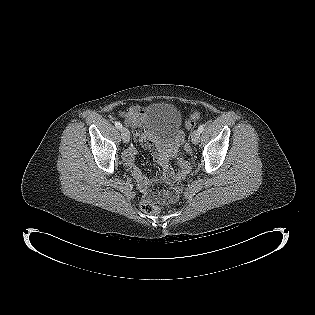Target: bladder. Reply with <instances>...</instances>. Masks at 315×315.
<instances>
[{
    "label": "bladder",
    "instance_id": "bladder-1",
    "mask_svg": "<svg viewBox=\"0 0 315 315\" xmlns=\"http://www.w3.org/2000/svg\"><path fill=\"white\" fill-rule=\"evenodd\" d=\"M182 116L176 108L155 105L144 114L143 130L153 137L174 143L181 137Z\"/></svg>",
    "mask_w": 315,
    "mask_h": 315
}]
</instances>
